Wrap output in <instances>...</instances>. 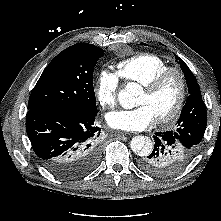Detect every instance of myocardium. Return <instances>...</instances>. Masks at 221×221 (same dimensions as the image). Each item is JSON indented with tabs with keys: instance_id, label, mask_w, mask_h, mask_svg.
Here are the masks:
<instances>
[{
	"instance_id": "1",
	"label": "myocardium",
	"mask_w": 221,
	"mask_h": 221,
	"mask_svg": "<svg viewBox=\"0 0 221 221\" xmlns=\"http://www.w3.org/2000/svg\"><path fill=\"white\" fill-rule=\"evenodd\" d=\"M176 76L179 82V95L173 108L166 114L156 118L158 123H168L174 120L182 111L187 98V81L184 73L177 67H168L158 73L150 81L142 85L147 93H155L163 83L170 77Z\"/></svg>"
}]
</instances>
